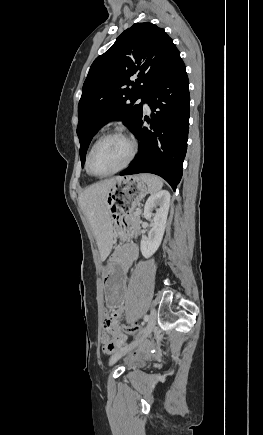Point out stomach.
<instances>
[{
  "label": "stomach",
  "instance_id": "obj_1",
  "mask_svg": "<svg viewBox=\"0 0 263 435\" xmlns=\"http://www.w3.org/2000/svg\"><path fill=\"white\" fill-rule=\"evenodd\" d=\"M147 192L146 183L140 176H127L115 181L106 195L108 214L112 223L117 219H129V211H132ZM114 230L115 233H130L131 227L130 224H115ZM127 269V261H122L121 258H107L102 276L104 310H117L118 305H124L125 299H128L126 279H123L128 277Z\"/></svg>",
  "mask_w": 263,
  "mask_h": 435
}]
</instances>
